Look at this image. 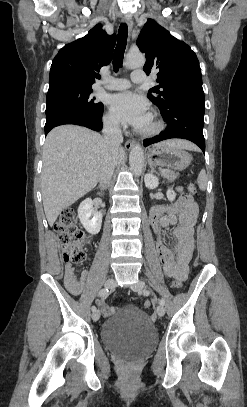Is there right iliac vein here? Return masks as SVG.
Segmentation results:
<instances>
[{"label":"right iliac vein","mask_w":247,"mask_h":407,"mask_svg":"<svg viewBox=\"0 0 247 407\" xmlns=\"http://www.w3.org/2000/svg\"><path fill=\"white\" fill-rule=\"evenodd\" d=\"M115 286H116V281H115L113 278H108V279L105 281V287H106V288L112 289V288H114ZM99 318H100V312H99L98 310L94 311V312L92 313V319H93L94 321H97V320H99Z\"/></svg>","instance_id":"63e3f726"}]
</instances>
